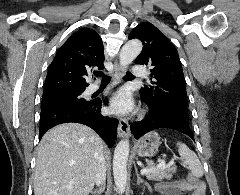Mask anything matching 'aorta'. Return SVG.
Masks as SVG:
<instances>
[{"label":"aorta","instance_id":"aorta-1","mask_svg":"<svg viewBox=\"0 0 240 195\" xmlns=\"http://www.w3.org/2000/svg\"><path fill=\"white\" fill-rule=\"evenodd\" d=\"M142 50V42L140 40H130L127 44H124L120 52V66L122 70L128 68L129 64L139 56ZM129 141L128 139H121L117 143L113 157V175L115 185L123 193L127 185V159L129 155Z\"/></svg>","mask_w":240,"mask_h":195}]
</instances>
